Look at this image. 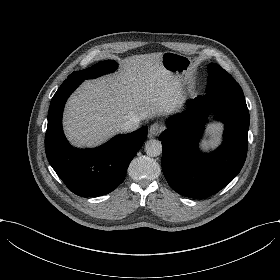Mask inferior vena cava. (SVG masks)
<instances>
[{"mask_svg":"<svg viewBox=\"0 0 280 280\" xmlns=\"http://www.w3.org/2000/svg\"><path fill=\"white\" fill-rule=\"evenodd\" d=\"M139 120L128 121L121 126L122 133L133 132L139 128Z\"/></svg>","mask_w":280,"mask_h":280,"instance_id":"602c4592","label":"inferior vena cava"}]
</instances>
